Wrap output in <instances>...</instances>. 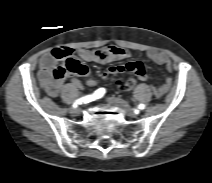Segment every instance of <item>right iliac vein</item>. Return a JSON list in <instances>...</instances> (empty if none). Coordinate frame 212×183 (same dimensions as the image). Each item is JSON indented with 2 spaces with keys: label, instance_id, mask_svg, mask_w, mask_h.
<instances>
[{
  "label": "right iliac vein",
  "instance_id": "right-iliac-vein-1",
  "mask_svg": "<svg viewBox=\"0 0 212 183\" xmlns=\"http://www.w3.org/2000/svg\"><path fill=\"white\" fill-rule=\"evenodd\" d=\"M80 112H81L80 108H72V109H70V113L73 114V115H79Z\"/></svg>",
  "mask_w": 212,
  "mask_h": 183
}]
</instances>
